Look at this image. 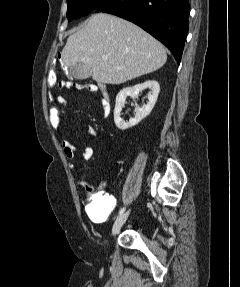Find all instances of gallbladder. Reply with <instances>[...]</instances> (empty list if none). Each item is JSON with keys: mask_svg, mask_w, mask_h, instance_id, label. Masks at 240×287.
Listing matches in <instances>:
<instances>
[{"mask_svg": "<svg viewBox=\"0 0 240 287\" xmlns=\"http://www.w3.org/2000/svg\"><path fill=\"white\" fill-rule=\"evenodd\" d=\"M67 75L74 79L83 80L91 77L92 71L87 65L83 63H77L69 67Z\"/></svg>", "mask_w": 240, "mask_h": 287, "instance_id": "obj_1", "label": "gallbladder"}]
</instances>
